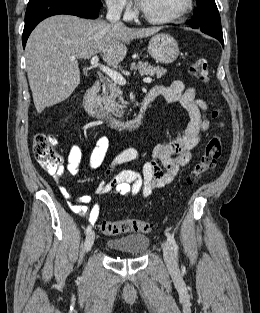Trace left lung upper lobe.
I'll use <instances>...</instances> for the list:
<instances>
[{
    "label": "left lung upper lobe",
    "mask_w": 260,
    "mask_h": 313,
    "mask_svg": "<svg viewBox=\"0 0 260 313\" xmlns=\"http://www.w3.org/2000/svg\"><path fill=\"white\" fill-rule=\"evenodd\" d=\"M197 8L193 12V28L200 27L206 34L222 36L221 19L214 0H196Z\"/></svg>",
    "instance_id": "5c2ea615"
}]
</instances>
